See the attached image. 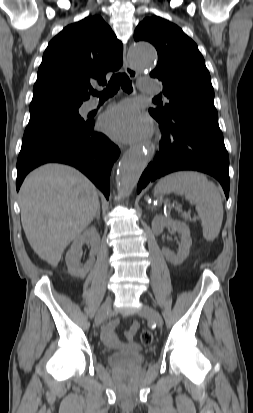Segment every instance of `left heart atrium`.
Returning a JSON list of instances; mask_svg holds the SVG:
<instances>
[{"label":"left heart atrium","instance_id":"1","mask_svg":"<svg viewBox=\"0 0 253 413\" xmlns=\"http://www.w3.org/2000/svg\"><path fill=\"white\" fill-rule=\"evenodd\" d=\"M100 128L123 142H132L151 132V122L134 104L124 102L105 112L100 118Z\"/></svg>","mask_w":253,"mask_h":413}]
</instances>
